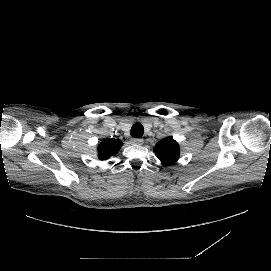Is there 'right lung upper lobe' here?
Here are the masks:
<instances>
[{"mask_svg":"<svg viewBox=\"0 0 271 271\" xmlns=\"http://www.w3.org/2000/svg\"><path fill=\"white\" fill-rule=\"evenodd\" d=\"M122 146V142L115 139H107L103 141L98 147L99 159H108L116 155Z\"/></svg>","mask_w":271,"mask_h":271,"instance_id":"cb5924a9","label":"right lung upper lobe"}]
</instances>
